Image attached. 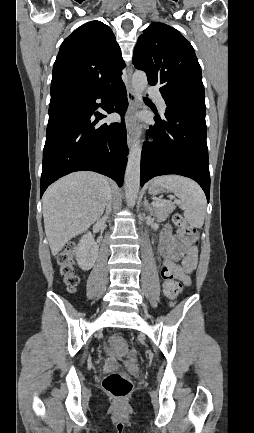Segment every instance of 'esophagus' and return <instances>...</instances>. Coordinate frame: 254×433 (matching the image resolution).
<instances>
[{"instance_id": "esophagus-1", "label": "esophagus", "mask_w": 254, "mask_h": 433, "mask_svg": "<svg viewBox=\"0 0 254 433\" xmlns=\"http://www.w3.org/2000/svg\"><path fill=\"white\" fill-rule=\"evenodd\" d=\"M131 76H132V68L128 71V83H127V98H128V109L126 113L127 119V145L130 148L133 143L134 138V128L133 123L131 121L132 115L134 114L137 106V98L136 93L131 84Z\"/></svg>"}]
</instances>
